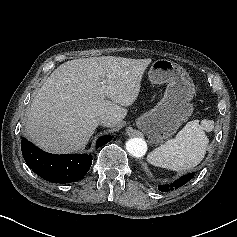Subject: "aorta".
I'll use <instances>...</instances> for the list:
<instances>
[{"instance_id": "obj_1", "label": "aorta", "mask_w": 237, "mask_h": 237, "mask_svg": "<svg viewBox=\"0 0 237 237\" xmlns=\"http://www.w3.org/2000/svg\"><path fill=\"white\" fill-rule=\"evenodd\" d=\"M126 150L134 157H142L147 150V144L141 138H131L126 142Z\"/></svg>"}]
</instances>
